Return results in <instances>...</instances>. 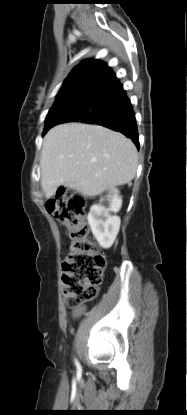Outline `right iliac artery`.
I'll use <instances>...</instances> for the list:
<instances>
[{
	"label": "right iliac artery",
	"instance_id": "right-iliac-artery-1",
	"mask_svg": "<svg viewBox=\"0 0 187 415\" xmlns=\"http://www.w3.org/2000/svg\"><path fill=\"white\" fill-rule=\"evenodd\" d=\"M75 363H76V366L79 368L80 367V364L78 363L77 360H75Z\"/></svg>",
	"mask_w": 187,
	"mask_h": 415
}]
</instances>
